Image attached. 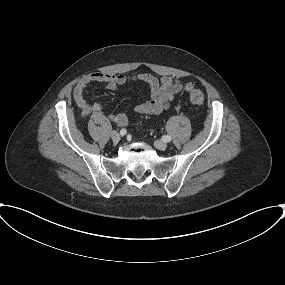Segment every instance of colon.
Wrapping results in <instances>:
<instances>
[{
  "label": "colon",
  "mask_w": 285,
  "mask_h": 285,
  "mask_svg": "<svg viewBox=\"0 0 285 285\" xmlns=\"http://www.w3.org/2000/svg\"><path fill=\"white\" fill-rule=\"evenodd\" d=\"M186 90L188 91L190 95L191 102L197 106L201 107L204 103V94L200 89L195 88V86L192 83H188L186 85Z\"/></svg>",
  "instance_id": "obj_1"
}]
</instances>
